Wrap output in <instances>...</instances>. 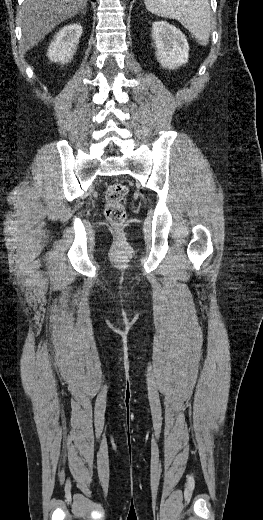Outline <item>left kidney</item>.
Returning <instances> with one entry per match:
<instances>
[{"instance_id":"1","label":"left kidney","mask_w":263,"mask_h":520,"mask_svg":"<svg viewBox=\"0 0 263 520\" xmlns=\"http://www.w3.org/2000/svg\"><path fill=\"white\" fill-rule=\"evenodd\" d=\"M152 33L157 60L164 68L174 70L188 62L189 46L179 29L165 21H158L153 23Z\"/></svg>"}]
</instances>
